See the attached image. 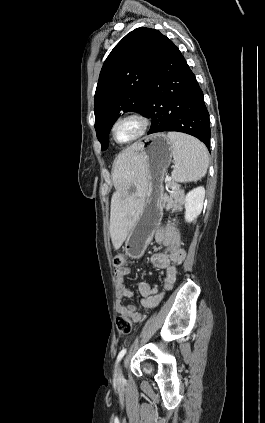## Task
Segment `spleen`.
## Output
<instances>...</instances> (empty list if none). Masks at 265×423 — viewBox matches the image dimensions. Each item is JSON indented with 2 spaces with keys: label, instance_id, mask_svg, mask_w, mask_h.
<instances>
[{
  "label": "spleen",
  "instance_id": "spleen-1",
  "mask_svg": "<svg viewBox=\"0 0 265 423\" xmlns=\"http://www.w3.org/2000/svg\"><path fill=\"white\" fill-rule=\"evenodd\" d=\"M167 137L172 143L174 169L172 178L175 182H196L205 176L209 157L203 143L189 135L168 132Z\"/></svg>",
  "mask_w": 265,
  "mask_h": 423
}]
</instances>
